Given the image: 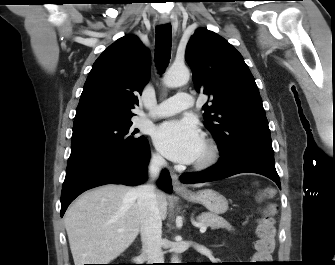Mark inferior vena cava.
Wrapping results in <instances>:
<instances>
[{
	"label": "inferior vena cava",
	"instance_id": "inferior-vena-cava-1",
	"mask_svg": "<svg viewBox=\"0 0 335 265\" xmlns=\"http://www.w3.org/2000/svg\"><path fill=\"white\" fill-rule=\"evenodd\" d=\"M165 160L153 155L149 165L150 182L136 188L140 212L142 254L150 264L164 263L162 252V220L153 181L158 178Z\"/></svg>",
	"mask_w": 335,
	"mask_h": 265
}]
</instances>
